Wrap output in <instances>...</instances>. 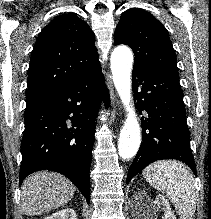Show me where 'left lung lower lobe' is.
Wrapping results in <instances>:
<instances>
[{
	"label": "left lung lower lobe",
	"instance_id": "0a47b994",
	"mask_svg": "<svg viewBox=\"0 0 211 219\" xmlns=\"http://www.w3.org/2000/svg\"><path fill=\"white\" fill-rule=\"evenodd\" d=\"M132 82L138 110L146 111V116L141 118L142 142L126 183L147 165L162 159L183 161L196 174L179 73L134 66Z\"/></svg>",
	"mask_w": 211,
	"mask_h": 219
}]
</instances>
